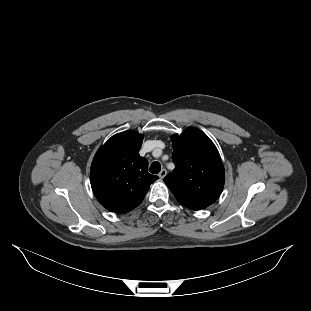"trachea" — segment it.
Here are the masks:
<instances>
[{
	"label": "trachea",
	"mask_w": 311,
	"mask_h": 311,
	"mask_svg": "<svg viewBox=\"0 0 311 311\" xmlns=\"http://www.w3.org/2000/svg\"><path fill=\"white\" fill-rule=\"evenodd\" d=\"M160 170H161V165L159 162L155 161L150 165V172L152 174H157L160 172Z\"/></svg>",
	"instance_id": "trachea-1"
}]
</instances>
